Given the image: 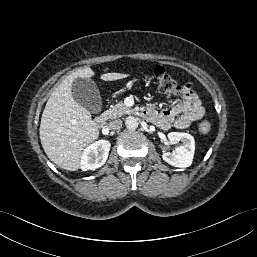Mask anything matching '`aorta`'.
Here are the masks:
<instances>
[{
	"instance_id": "762f6f07",
	"label": "aorta",
	"mask_w": 257,
	"mask_h": 257,
	"mask_svg": "<svg viewBox=\"0 0 257 257\" xmlns=\"http://www.w3.org/2000/svg\"><path fill=\"white\" fill-rule=\"evenodd\" d=\"M139 119L138 118H135V117H128L126 119V127L129 129V130H135L138 125H139Z\"/></svg>"
}]
</instances>
